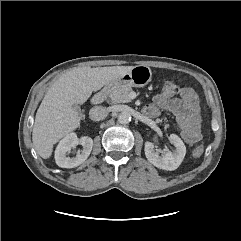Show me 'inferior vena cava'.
I'll return each mask as SVG.
<instances>
[{
  "label": "inferior vena cava",
  "mask_w": 241,
  "mask_h": 241,
  "mask_svg": "<svg viewBox=\"0 0 241 241\" xmlns=\"http://www.w3.org/2000/svg\"><path fill=\"white\" fill-rule=\"evenodd\" d=\"M108 116V109L103 106H96L89 112V117L93 121H101Z\"/></svg>",
  "instance_id": "1"
}]
</instances>
